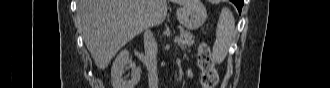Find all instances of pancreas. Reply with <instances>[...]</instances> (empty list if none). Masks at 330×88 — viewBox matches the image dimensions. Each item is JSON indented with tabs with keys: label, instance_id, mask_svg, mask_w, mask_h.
Masks as SVG:
<instances>
[{
	"label": "pancreas",
	"instance_id": "1",
	"mask_svg": "<svg viewBox=\"0 0 330 88\" xmlns=\"http://www.w3.org/2000/svg\"><path fill=\"white\" fill-rule=\"evenodd\" d=\"M193 44V35L189 31L181 30L178 45L185 49Z\"/></svg>",
	"mask_w": 330,
	"mask_h": 88
}]
</instances>
